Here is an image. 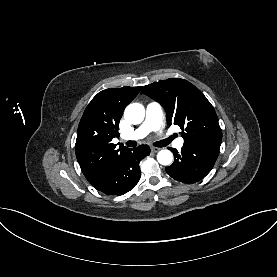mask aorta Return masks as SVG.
Listing matches in <instances>:
<instances>
[{
	"label": "aorta",
	"mask_w": 277,
	"mask_h": 277,
	"mask_svg": "<svg viewBox=\"0 0 277 277\" xmlns=\"http://www.w3.org/2000/svg\"><path fill=\"white\" fill-rule=\"evenodd\" d=\"M125 119L132 124H139L144 120L145 109L142 104H129L124 111ZM157 160L161 165H170L173 160V154L169 150H161L157 154Z\"/></svg>",
	"instance_id": "aorta-1"
}]
</instances>
